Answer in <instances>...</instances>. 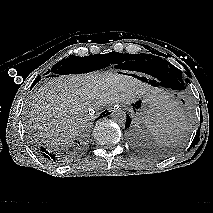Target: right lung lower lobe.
<instances>
[{"label": "right lung lower lobe", "instance_id": "obj_1", "mask_svg": "<svg viewBox=\"0 0 213 213\" xmlns=\"http://www.w3.org/2000/svg\"><path fill=\"white\" fill-rule=\"evenodd\" d=\"M39 80H40V77H38L35 80L34 85ZM108 114H110V112L105 110L101 114L100 118L104 117ZM80 146H81V144L79 142H76V144L74 146H72V147H70L69 149H66V150H63L61 148L41 147L40 152L46 159L52 160L54 162H63V161H66V160L72 158L74 155H76L81 149Z\"/></svg>", "mask_w": 213, "mask_h": 213}]
</instances>
